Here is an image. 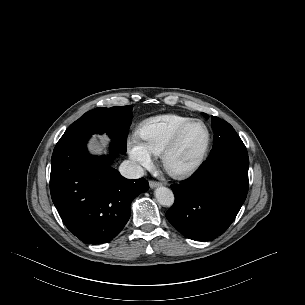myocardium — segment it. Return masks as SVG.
I'll list each match as a JSON object with an SVG mask.
<instances>
[{"label": "myocardium", "mask_w": 305, "mask_h": 305, "mask_svg": "<svg viewBox=\"0 0 305 305\" xmlns=\"http://www.w3.org/2000/svg\"><path fill=\"white\" fill-rule=\"evenodd\" d=\"M195 124H201L202 126H204L206 130L207 138L205 145L201 153L193 163L184 167H175L171 163V158L174 155V153L178 150L179 146L181 145V142L186 132ZM211 142H212V135L209 126L202 120L199 119L191 120L190 122H188L182 128L179 129V131L176 133L172 141L167 145V147L162 152L161 160L165 171L170 176L176 179H185L190 177L191 175L196 173L204 164L210 150Z\"/></svg>", "instance_id": "myocardium-1"}]
</instances>
